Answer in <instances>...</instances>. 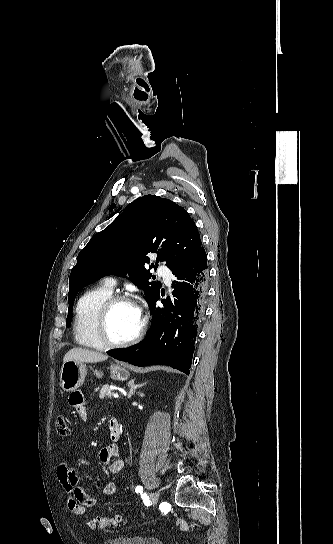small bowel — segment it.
<instances>
[{
  "label": "small bowel",
  "mask_w": 333,
  "mask_h": 544,
  "mask_svg": "<svg viewBox=\"0 0 333 544\" xmlns=\"http://www.w3.org/2000/svg\"><path fill=\"white\" fill-rule=\"evenodd\" d=\"M68 402L78 415L85 421L88 418L87 403L81 392H73L70 394ZM109 434L111 443L103 447L98 454L99 462L105 466L110 473L118 474L125 466L123 460L117 459L121 454V449L118 444L120 438L121 426L117 419L109 420ZM57 478L63 489L68 495V508L75 515H83L86 509L96 505V499L87 494L78 484V473L75 469L70 468L66 463L62 462L57 468ZM116 491V484L108 482L103 487V494L106 496L113 495Z\"/></svg>",
  "instance_id": "small-bowel-1"
}]
</instances>
